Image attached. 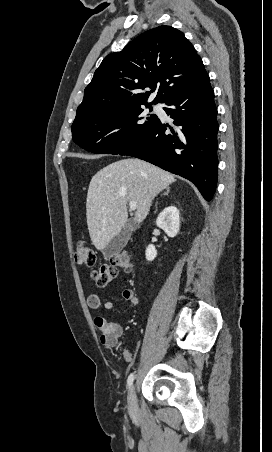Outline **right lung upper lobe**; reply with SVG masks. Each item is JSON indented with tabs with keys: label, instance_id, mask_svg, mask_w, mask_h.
I'll return each instance as SVG.
<instances>
[{
	"label": "right lung upper lobe",
	"instance_id": "1",
	"mask_svg": "<svg viewBox=\"0 0 272 452\" xmlns=\"http://www.w3.org/2000/svg\"><path fill=\"white\" fill-rule=\"evenodd\" d=\"M207 77L201 58L184 34L171 26H159L103 59L85 88L75 119L100 111L165 103ZM145 88L151 91L143 92ZM156 89V97L147 103Z\"/></svg>",
	"mask_w": 272,
	"mask_h": 452
}]
</instances>
